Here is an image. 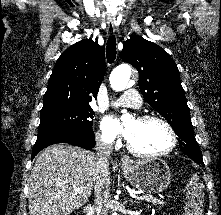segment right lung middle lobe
<instances>
[{"label":"right lung middle lobe","mask_w":221,"mask_h":215,"mask_svg":"<svg viewBox=\"0 0 221 215\" xmlns=\"http://www.w3.org/2000/svg\"><path fill=\"white\" fill-rule=\"evenodd\" d=\"M94 112L90 107H79L41 115L38 136L65 131L92 129Z\"/></svg>","instance_id":"1"}]
</instances>
